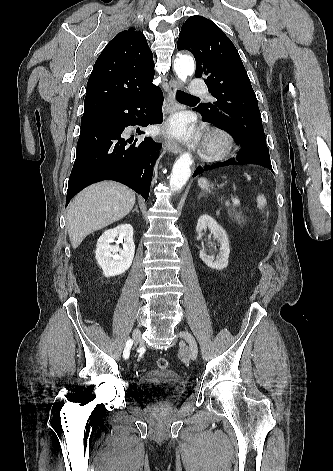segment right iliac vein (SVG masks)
Listing matches in <instances>:
<instances>
[{
    "instance_id": "right-iliac-vein-1",
    "label": "right iliac vein",
    "mask_w": 333,
    "mask_h": 471,
    "mask_svg": "<svg viewBox=\"0 0 333 471\" xmlns=\"http://www.w3.org/2000/svg\"><path fill=\"white\" fill-rule=\"evenodd\" d=\"M133 339H134V344L135 345H138L142 340L141 331L138 328L134 329V331H133Z\"/></svg>"
}]
</instances>
